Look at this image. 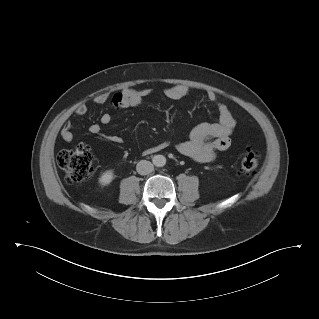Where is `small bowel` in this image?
Here are the masks:
<instances>
[{
    "label": "small bowel",
    "mask_w": 319,
    "mask_h": 319,
    "mask_svg": "<svg viewBox=\"0 0 319 319\" xmlns=\"http://www.w3.org/2000/svg\"><path fill=\"white\" fill-rule=\"evenodd\" d=\"M165 96L170 100H179L188 93L187 86L183 84H175L165 89ZM121 107H135L142 103L150 95L148 89H125L121 94ZM207 98L210 102L215 103L218 112V121L206 122L195 126L187 140H184L176 145V150L194 161L211 162L219 152L225 151L230 146V135L236 126L229 107L220 102L217 94L214 91L207 92ZM110 95L101 93L95 96L94 103L98 106L105 105L109 102ZM114 103V101H113ZM87 106L80 104L76 108V115L82 117L87 113ZM112 117L109 113H104L100 117L99 123L90 125L89 132L94 135L102 136L105 140L111 143L120 144L122 138L114 134H104L102 126L110 124ZM61 138L63 141L70 143L74 139L73 124L67 121L61 129ZM168 146L167 142H161L155 146L144 150L145 154H152L159 150L165 149Z\"/></svg>",
    "instance_id": "1"
}]
</instances>
